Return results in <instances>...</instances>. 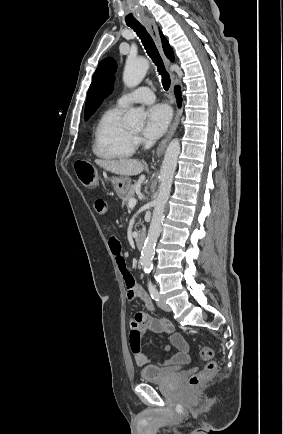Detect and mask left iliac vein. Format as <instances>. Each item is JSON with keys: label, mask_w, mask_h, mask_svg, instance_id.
<instances>
[{"label": "left iliac vein", "mask_w": 283, "mask_h": 434, "mask_svg": "<svg viewBox=\"0 0 283 434\" xmlns=\"http://www.w3.org/2000/svg\"><path fill=\"white\" fill-rule=\"evenodd\" d=\"M157 304L162 310L167 312L171 311V307L164 300H158Z\"/></svg>", "instance_id": "4c4485c4"}]
</instances>
